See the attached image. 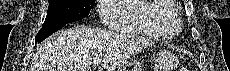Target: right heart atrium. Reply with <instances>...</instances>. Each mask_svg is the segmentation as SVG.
Segmentation results:
<instances>
[{
	"mask_svg": "<svg viewBox=\"0 0 230 71\" xmlns=\"http://www.w3.org/2000/svg\"><path fill=\"white\" fill-rule=\"evenodd\" d=\"M122 0H100L99 1V16L103 22V24L110 26L111 24V14L108 10V7L120 3Z\"/></svg>",
	"mask_w": 230,
	"mask_h": 71,
	"instance_id": "1",
	"label": "right heart atrium"
}]
</instances>
